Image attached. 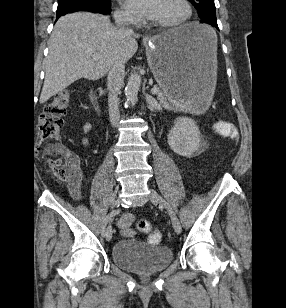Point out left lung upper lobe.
<instances>
[{
	"label": "left lung upper lobe",
	"instance_id": "5c2ea615",
	"mask_svg": "<svg viewBox=\"0 0 286 308\" xmlns=\"http://www.w3.org/2000/svg\"><path fill=\"white\" fill-rule=\"evenodd\" d=\"M197 9L200 18L210 14H215L216 8L214 0H188Z\"/></svg>",
	"mask_w": 286,
	"mask_h": 308
}]
</instances>
